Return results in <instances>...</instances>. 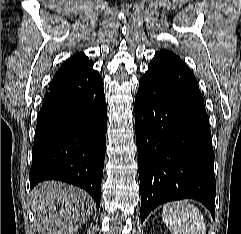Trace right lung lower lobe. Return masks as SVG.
<instances>
[{"mask_svg": "<svg viewBox=\"0 0 241 234\" xmlns=\"http://www.w3.org/2000/svg\"><path fill=\"white\" fill-rule=\"evenodd\" d=\"M93 63L52 80L38 113L29 179L61 180L86 190L100 206L107 105Z\"/></svg>", "mask_w": 241, "mask_h": 234, "instance_id": "obj_1", "label": "right lung lower lobe"}]
</instances>
